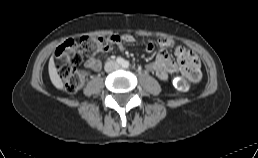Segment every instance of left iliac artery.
Segmentation results:
<instances>
[{"mask_svg":"<svg viewBox=\"0 0 258 158\" xmlns=\"http://www.w3.org/2000/svg\"><path fill=\"white\" fill-rule=\"evenodd\" d=\"M123 67H124V68H128V67H129V63H128L127 61H125V62L123 63Z\"/></svg>","mask_w":258,"mask_h":158,"instance_id":"44dca946","label":"left iliac artery"}]
</instances>
